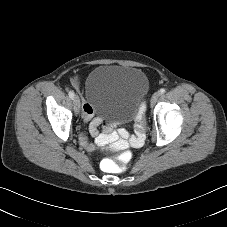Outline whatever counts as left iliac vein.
I'll return each mask as SVG.
<instances>
[{
	"label": "left iliac vein",
	"instance_id": "4c4485c4",
	"mask_svg": "<svg viewBox=\"0 0 227 227\" xmlns=\"http://www.w3.org/2000/svg\"><path fill=\"white\" fill-rule=\"evenodd\" d=\"M159 97H160V92L154 93L151 98V105H154L158 101Z\"/></svg>",
	"mask_w": 227,
	"mask_h": 227
}]
</instances>
